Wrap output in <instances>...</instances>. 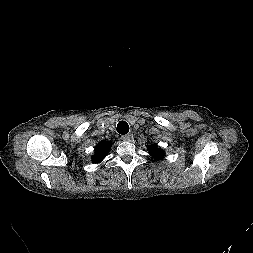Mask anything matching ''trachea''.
Returning a JSON list of instances; mask_svg holds the SVG:
<instances>
[{
    "mask_svg": "<svg viewBox=\"0 0 253 253\" xmlns=\"http://www.w3.org/2000/svg\"><path fill=\"white\" fill-rule=\"evenodd\" d=\"M117 132L119 134H127L129 132V125L125 121H120L117 125Z\"/></svg>",
    "mask_w": 253,
    "mask_h": 253,
    "instance_id": "trachea-1",
    "label": "trachea"
}]
</instances>
